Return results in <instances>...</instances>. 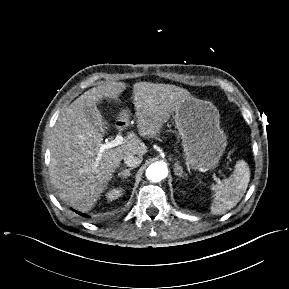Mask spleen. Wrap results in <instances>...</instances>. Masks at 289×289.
<instances>
[{
  "instance_id": "spleen-1",
  "label": "spleen",
  "mask_w": 289,
  "mask_h": 289,
  "mask_svg": "<svg viewBox=\"0 0 289 289\" xmlns=\"http://www.w3.org/2000/svg\"><path fill=\"white\" fill-rule=\"evenodd\" d=\"M250 181V169L244 160L237 161L233 174L220 184H213L211 212L223 214L241 200Z\"/></svg>"
}]
</instances>
